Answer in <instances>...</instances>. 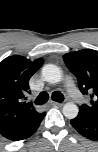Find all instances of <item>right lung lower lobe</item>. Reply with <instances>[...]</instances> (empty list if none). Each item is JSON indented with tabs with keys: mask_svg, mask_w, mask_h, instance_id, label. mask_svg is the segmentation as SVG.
Listing matches in <instances>:
<instances>
[{
	"mask_svg": "<svg viewBox=\"0 0 98 152\" xmlns=\"http://www.w3.org/2000/svg\"><path fill=\"white\" fill-rule=\"evenodd\" d=\"M44 113H40L37 117H35L31 122H29L26 126L21 128L19 131L7 136L6 138L11 141H19L30 137L39 127L41 121L43 120Z\"/></svg>",
	"mask_w": 98,
	"mask_h": 152,
	"instance_id": "right-lung-lower-lobe-1",
	"label": "right lung lower lobe"
}]
</instances>
